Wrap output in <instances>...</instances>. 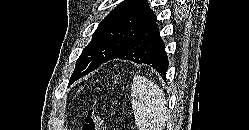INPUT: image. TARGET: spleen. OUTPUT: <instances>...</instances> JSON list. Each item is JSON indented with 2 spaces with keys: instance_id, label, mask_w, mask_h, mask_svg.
<instances>
[{
  "instance_id": "spleen-1",
  "label": "spleen",
  "mask_w": 249,
  "mask_h": 130,
  "mask_svg": "<svg viewBox=\"0 0 249 130\" xmlns=\"http://www.w3.org/2000/svg\"><path fill=\"white\" fill-rule=\"evenodd\" d=\"M131 104L138 130H163L167 119V101L163 90L152 80L134 78Z\"/></svg>"
}]
</instances>
